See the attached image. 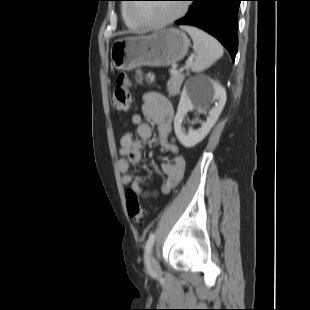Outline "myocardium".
Returning <instances> with one entry per match:
<instances>
[{
  "instance_id": "1",
  "label": "myocardium",
  "mask_w": 310,
  "mask_h": 310,
  "mask_svg": "<svg viewBox=\"0 0 310 310\" xmlns=\"http://www.w3.org/2000/svg\"><path fill=\"white\" fill-rule=\"evenodd\" d=\"M132 7H133V5H128V7H127V14L129 16V18L131 20H133L134 22H136L140 27L153 29V30L161 29V28H164V27L174 23L175 21L182 18L188 11V4L183 3V4H181L179 11L174 16H172L166 20H163L161 22H150V21H145L143 19H140V18L136 17L135 15H133L132 14Z\"/></svg>"
}]
</instances>
